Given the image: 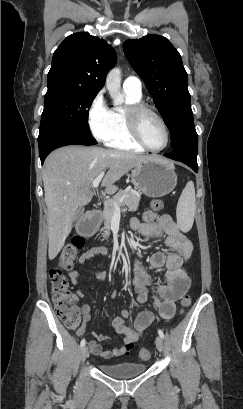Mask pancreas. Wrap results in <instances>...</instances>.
<instances>
[{"mask_svg": "<svg viewBox=\"0 0 243 409\" xmlns=\"http://www.w3.org/2000/svg\"><path fill=\"white\" fill-rule=\"evenodd\" d=\"M121 198H124L122 202H120ZM139 201H140L139 194L128 190H121L115 196H113L112 199H110L108 202H105L104 210L102 213L104 219L103 229L105 236L109 234L111 219L116 211L114 207V202L118 203L119 207L126 206L129 211H136L138 209Z\"/></svg>", "mask_w": 243, "mask_h": 409, "instance_id": "cf45deb5", "label": "pancreas"}]
</instances>
